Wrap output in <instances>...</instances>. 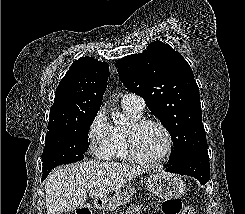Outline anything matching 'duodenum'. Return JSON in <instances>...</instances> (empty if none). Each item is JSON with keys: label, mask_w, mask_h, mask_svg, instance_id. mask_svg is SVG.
Returning a JSON list of instances; mask_svg holds the SVG:
<instances>
[{"label": "duodenum", "mask_w": 245, "mask_h": 214, "mask_svg": "<svg viewBox=\"0 0 245 214\" xmlns=\"http://www.w3.org/2000/svg\"><path fill=\"white\" fill-rule=\"evenodd\" d=\"M98 204L101 205V202L99 201ZM79 214H84V213H79Z\"/></svg>", "instance_id": "410a0bca"}]
</instances>
